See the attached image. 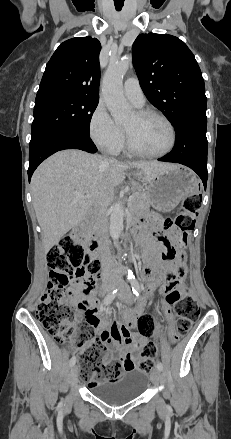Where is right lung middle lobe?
I'll return each mask as SVG.
<instances>
[{
  "label": "right lung middle lobe",
  "mask_w": 231,
  "mask_h": 439,
  "mask_svg": "<svg viewBox=\"0 0 231 439\" xmlns=\"http://www.w3.org/2000/svg\"><path fill=\"white\" fill-rule=\"evenodd\" d=\"M98 102L99 99L79 95H53L36 100L31 140L63 127L89 134L91 117Z\"/></svg>",
  "instance_id": "dd1d6c3e"
}]
</instances>
